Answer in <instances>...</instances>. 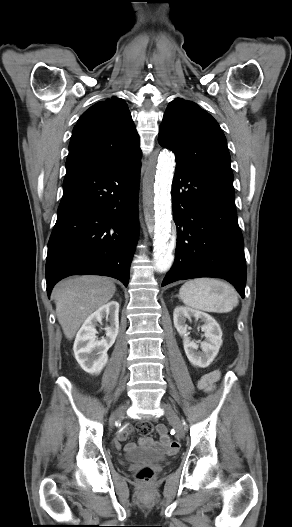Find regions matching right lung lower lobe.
Segmentation results:
<instances>
[{
  "label": "right lung lower lobe",
  "instance_id": "1",
  "mask_svg": "<svg viewBox=\"0 0 292 527\" xmlns=\"http://www.w3.org/2000/svg\"><path fill=\"white\" fill-rule=\"evenodd\" d=\"M140 157L66 171L48 242V296L59 280L74 274L110 276L128 285L139 230Z\"/></svg>",
  "mask_w": 292,
  "mask_h": 527
}]
</instances>
